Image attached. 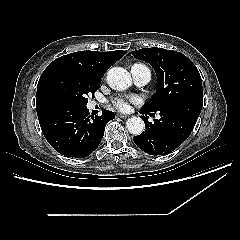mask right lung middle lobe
I'll list each match as a JSON object with an SVG mask.
<instances>
[{"label":"right lung middle lobe","instance_id":"1","mask_svg":"<svg viewBox=\"0 0 240 240\" xmlns=\"http://www.w3.org/2000/svg\"><path fill=\"white\" fill-rule=\"evenodd\" d=\"M101 80H93L75 75L68 70L53 73L44 82L42 99L49 107L73 105L86 107L88 95H94Z\"/></svg>","mask_w":240,"mask_h":240}]
</instances>
